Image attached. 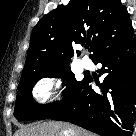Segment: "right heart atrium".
Instances as JSON below:
<instances>
[{
  "label": "right heart atrium",
  "mask_w": 136,
  "mask_h": 136,
  "mask_svg": "<svg viewBox=\"0 0 136 136\" xmlns=\"http://www.w3.org/2000/svg\"><path fill=\"white\" fill-rule=\"evenodd\" d=\"M33 95L39 102H48L53 97L62 98V80L60 78H45L34 87Z\"/></svg>",
  "instance_id": "d8ad5b80"
}]
</instances>
